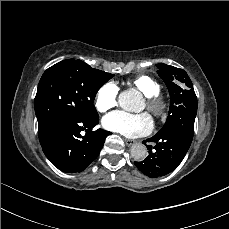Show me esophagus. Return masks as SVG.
Returning <instances> with one entry per match:
<instances>
[{
	"mask_svg": "<svg viewBox=\"0 0 229 229\" xmlns=\"http://www.w3.org/2000/svg\"><path fill=\"white\" fill-rule=\"evenodd\" d=\"M125 144H126V146L131 147V146H133L134 144H136V140H133V139H126V140H125Z\"/></svg>",
	"mask_w": 229,
	"mask_h": 229,
	"instance_id": "esophagus-1",
	"label": "esophagus"
}]
</instances>
